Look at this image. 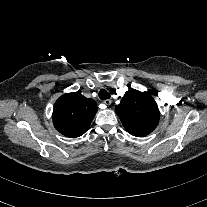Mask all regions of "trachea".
Masks as SVG:
<instances>
[{"label": "trachea", "instance_id": "1", "mask_svg": "<svg viewBox=\"0 0 207 207\" xmlns=\"http://www.w3.org/2000/svg\"><path fill=\"white\" fill-rule=\"evenodd\" d=\"M99 98L101 100L109 99L110 98V94L105 89H101L99 91Z\"/></svg>", "mask_w": 207, "mask_h": 207}]
</instances>
